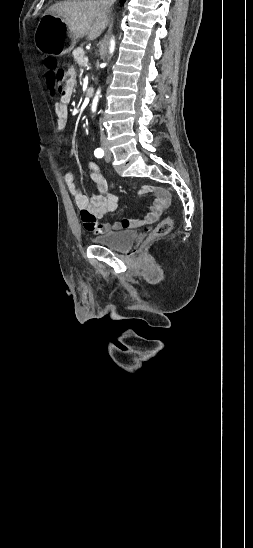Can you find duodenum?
<instances>
[{
  "instance_id": "1",
  "label": "duodenum",
  "mask_w": 253,
  "mask_h": 548,
  "mask_svg": "<svg viewBox=\"0 0 253 548\" xmlns=\"http://www.w3.org/2000/svg\"><path fill=\"white\" fill-rule=\"evenodd\" d=\"M86 95L88 97H92L94 95V88H92V87L87 88Z\"/></svg>"
}]
</instances>
